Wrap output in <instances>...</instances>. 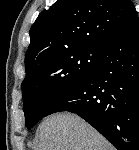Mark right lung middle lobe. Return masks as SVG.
I'll list each match as a JSON object with an SVG mask.
<instances>
[{
  "mask_svg": "<svg viewBox=\"0 0 139 150\" xmlns=\"http://www.w3.org/2000/svg\"><path fill=\"white\" fill-rule=\"evenodd\" d=\"M104 48L56 55L26 75L22 82L25 124L32 128L48 109L92 71Z\"/></svg>",
  "mask_w": 139,
  "mask_h": 150,
  "instance_id": "dd1d6c3e",
  "label": "right lung middle lobe"
}]
</instances>
